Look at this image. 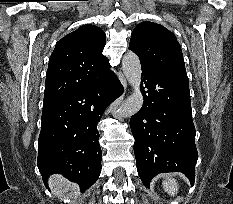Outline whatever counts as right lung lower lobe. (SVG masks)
Instances as JSON below:
<instances>
[{
	"mask_svg": "<svg viewBox=\"0 0 233 204\" xmlns=\"http://www.w3.org/2000/svg\"><path fill=\"white\" fill-rule=\"evenodd\" d=\"M123 92L110 67L95 82L43 105L38 168L45 184L60 173L85 191L101 173L97 123Z\"/></svg>",
	"mask_w": 233,
	"mask_h": 204,
	"instance_id": "98d812e1",
	"label": "right lung lower lobe"
}]
</instances>
